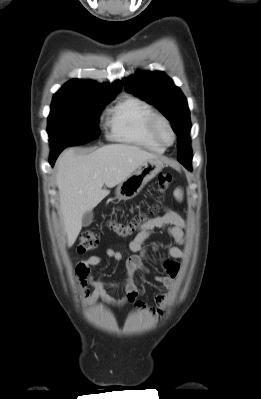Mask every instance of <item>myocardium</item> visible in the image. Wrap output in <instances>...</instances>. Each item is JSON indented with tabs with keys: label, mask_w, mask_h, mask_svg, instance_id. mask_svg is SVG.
Masks as SVG:
<instances>
[{
	"label": "myocardium",
	"mask_w": 261,
	"mask_h": 399,
	"mask_svg": "<svg viewBox=\"0 0 261 399\" xmlns=\"http://www.w3.org/2000/svg\"><path fill=\"white\" fill-rule=\"evenodd\" d=\"M160 122H163L168 127V129L170 130V132L172 134V141L169 143L165 142L159 133L158 127H159ZM149 131H150L152 137L164 147H169V146L173 145L177 138L175 129H174L171 121L165 115L158 113V112H154L149 119Z\"/></svg>",
	"instance_id": "f54148a6"
}]
</instances>
